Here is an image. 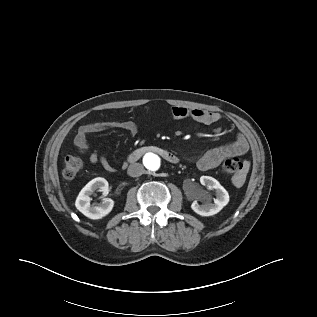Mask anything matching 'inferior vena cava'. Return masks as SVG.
<instances>
[{
	"mask_svg": "<svg viewBox=\"0 0 317 317\" xmlns=\"http://www.w3.org/2000/svg\"><path fill=\"white\" fill-rule=\"evenodd\" d=\"M144 173V167L140 163L130 164L127 169V174L131 177H138Z\"/></svg>",
	"mask_w": 317,
	"mask_h": 317,
	"instance_id": "1",
	"label": "inferior vena cava"
}]
</instances>
